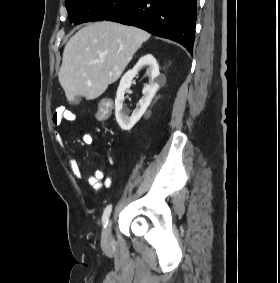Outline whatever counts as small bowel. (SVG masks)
Instances as JSON below:
<instances>
[{"label":"small bowel","mask_w":280,"mask_h":283,"mask_svg":"<svg viewBox=\"0 0 280 283\" xmlns=\"http://www.w3.org/2000/svg\"><path fill=\"white\" fill-rule=\"evenodd\" d=\"M76 120V115L73 111L70 109H67L65 107L58 108L54 114H53V123L55 125H61L63 122H73ZM55 139L56 141L61 144L69 162V168L72 172V174L76 177L82 176V168L77 161V159L64 147V139L61 133L56 132L55 133ZM82 142L86 145H90L93 143V137L91 134H83ZM105 165L108 167L110 166V162L107 161ZM105 174L103 170H96L92 174H89L86 176L87 183L95 190V192L100 191L104 186H108L110 184V178L106 180L105 183H103Z\"/></svg>","instance_id":"small-bowel-1"}]
</instances>
